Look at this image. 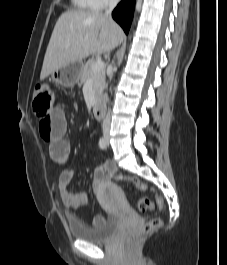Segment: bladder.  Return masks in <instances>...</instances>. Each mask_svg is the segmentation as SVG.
I'll list each match as a JSON object with an SVG mask.
<instances>
[{"label": "bladder", "instance_id": "1", "mask_svg": "<svg viewBox=\"0 0 227 265\" xmlns=\"http://www.w3.org/2000/svg\"><path fill=\"white\" fill-rule=\"evenodd\" d=\"M114 192L121 196V189L113 186ZM120 217L116 214L109 215L104 221L94 227H86L79 223L69 222L68 227L74 239L89 243H101L109 239L118 229Z\"/></svg>", "mask_w": 227, "mask_h": 265}]
</instances>
